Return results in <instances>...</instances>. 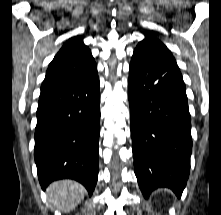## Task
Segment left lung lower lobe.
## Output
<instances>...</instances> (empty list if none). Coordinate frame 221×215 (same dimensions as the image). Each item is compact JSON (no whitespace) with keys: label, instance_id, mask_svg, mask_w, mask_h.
<instances>
[{"label":"left lung lower lobe","instance_id":"1","mask_svg":"<svg viewBox=\"0 0 221 215\" xmlns=\"http://www.w3.org/2000/svg\"><path fill=\"white\" fill-rule=\"evenodd\" d=\"M128 98L134 170L143 195L167 187L180 198L190 172L191 118L171 53L160 47L134 50Z\"/></svg>","mask_w":221,"mask_h":215}]
</instances>
